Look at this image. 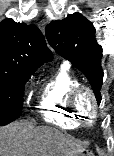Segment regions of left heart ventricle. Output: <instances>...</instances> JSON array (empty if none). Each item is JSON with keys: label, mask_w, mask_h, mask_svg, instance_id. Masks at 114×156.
I'll return each mask as SVG.
<instances>
[{"label": "left heart ventricle", "mask_w": 114, "mask_h": 156, "mask_svg": "<svg viewBox=\"0 0 114 156\" xmlns=\"http://www.w3.org/2000/svg\"><path fill=\"white\" fill-rule=\"evenodd\" d=\"M79 108L84 112L85 117L89 119L92 113V101L90 97L83 93L78 99Z\"/></svg>", "instance_id": "left-heart-ventricle-1"}]
</instances>
